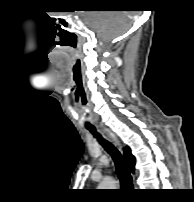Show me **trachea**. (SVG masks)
I'll return each mask as SVG.
<instances>
[{
  "label": "trachea",
  "instance_id": "obj_1",
  "mask_svg": "<svg viewBox=\"0 0 194 202\" xmlns=\"http://www.w3.org/2000/svg\"><path fill=\"white\" fill-rule=\"evenodd\" d=\"M86 128L97 138L99 143L104 149L112 156V159L116 166V173L120 179V183L124 188H132L133 181L129 172L128 165L118 152V150L107 140L103 139L102 136L96 132V128L92 125H87Z\"/></svg>",
  "mask_w": 194,
  "mask_h": 202
}]
</instances>
